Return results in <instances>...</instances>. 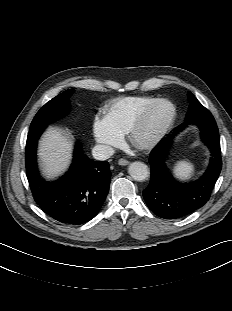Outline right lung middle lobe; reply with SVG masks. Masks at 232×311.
Here are the masks:
<instances>
[{"label": "right lung middle lobe", "instance_id": "dd1d6c3e", "mask_svg": "<svg viewBox=\"0 0 232 311\" xmlns=\"http://www.w3.org/2000/svg\"><path fill=\"white\" fill-rule=\"evenodd\" d=\"M73 93V89L66 90L47 102L35 115L30 130L46 127L66 115L70 108L69 98Z\"/></svg>", "mask_w": 232, "mask_h": 311}]
</instances>
